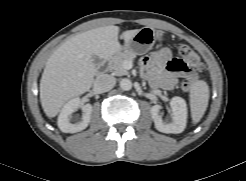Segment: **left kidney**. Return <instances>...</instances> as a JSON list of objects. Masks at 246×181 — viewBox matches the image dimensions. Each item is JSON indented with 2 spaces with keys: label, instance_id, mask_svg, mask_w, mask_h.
<instances>
[{
  "label": "left kidney",
  "instance_id": "obj_1",
  "mask_svg": "<svg viewBox=\"0 0 246 181\" xmlns=\"http://www.w3.org/2000/svg\"><path fill=\"white\" fill-rule=\"evenodd\" d=\"M172 122L163 120L161 113L162 106L154 105L151 108V116L155 124V128L163 133L178 134L184 131L187 123V104L186 101L178 96L171 99Z\"/></svg>",
  "mask_w": 246,
  "mask_h": 181
}]
</instances>
